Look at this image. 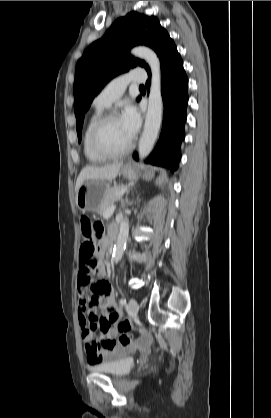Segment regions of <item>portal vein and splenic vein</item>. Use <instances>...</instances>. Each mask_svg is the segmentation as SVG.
I'll return each instance as SVG.
<instances>
[{
  "mask_svg": "<svg viewBox=\"0 0 271 418\" xmlns=\"http://www.w3.org/2000/svg\"><path fill=\"white\" fill-rule=\"evenodd\" d=\"M116 206L112 205L105 213L104 218L108 219L109 217L112 216L114 210H115Z\"/></svg>",
  "mask_w": 271,
  "mask_h": 418,
  "instance_id": "18ae733b",
  "label": "portal vein and splenic vein"
}]
</instances>
